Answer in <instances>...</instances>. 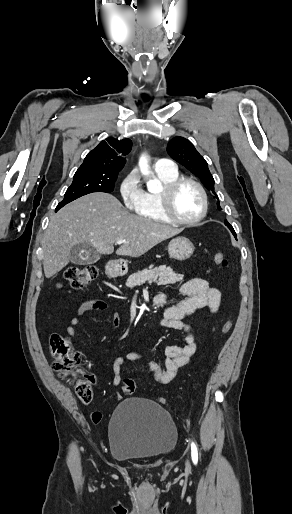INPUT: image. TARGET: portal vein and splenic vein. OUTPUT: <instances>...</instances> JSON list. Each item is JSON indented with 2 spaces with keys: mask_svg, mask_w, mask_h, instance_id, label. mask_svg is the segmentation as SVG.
I'll return each mask as SVG.
<instances>
[{
  "mask_svg": "<svg viewBox=\"0 0 292 514\" xmlns=\"http://www.w3.org/2000/svg\"><path fill=\"white\" fill-rule=\"evenodd\" d=\"M123 242H126V240H118V242H116V244H123Z\"/></svg>",
  "mask_w": 292,
  "mask_h": 514,
  "instance_id": "18ae733b",
  "label": "portal vein and splenic vein"
}]
</instances>
